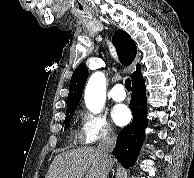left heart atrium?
I'll return each mask as SVG.
<instances>
[{
  "instance_id": "left-heart-atrium-1",
  "label": "left heart atrium",
  "mask_w": 194,
  "mask_h": 178,
  "mask_svg": "<svg viewBox=\"0 0 194 178\" xmlns=\"http://www.w3.org/2000/svg\"><path fill=\"white\" fill-rule=\"evenodd\" d=\"M111 116L114 123L119 126L126 125L131 119L130 111L124 105L115 106L112 110Z\"/></svg>"
}]
</instances>
